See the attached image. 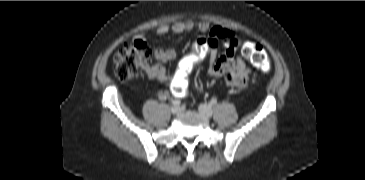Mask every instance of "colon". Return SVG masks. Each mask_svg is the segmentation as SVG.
<instances>
[{"label":"colon","instance_id":"obj_1","mask_svg":"<svg viewBox=\"0 0 365 180\" xmlns=\"http://www.w3.org/2000/svg\"><path fill=\"white\" fill-rule=\"evenodd\" d=\"M241 53L263 73L270 72L271 64L268 54L260 44L245 41L241 45ZM113 62L117 78L126 81L134 78L140 68L150 65V53L144 41L134 40L116 50ZM188 71L186 70L184 73ZM187 89L186 77L183 74L173 83L172 91L175 96H185Z\"/></svg>","mask_w":365,"mask_h":180}]
</instances>
